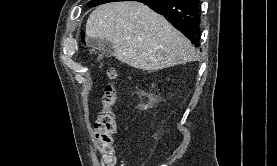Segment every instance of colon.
Returning a JSON list of instances; mask_svg holds the SVG:
<instances>
[{
    "mask_svg": "<svg viewBox=\"0 0 277 166\" xmlns=\"http://www.w3.org/2000/svg\"><path fill=\"white\" fill-rule=\"evenodd\" d=\"M81 41L85 43L84 33L81 34ZM110 82L105 86L102 96V109L94 124L97 147L101 155L102 166H116L117 157L115 153L114 134L116 132L115 115L113 106L116 102V90L113 80L116 72L113 68L107 70Z\"/></svg>",
    "mask_w": 277,
    "mask_h": 166,
    "instance_id": "colon-1",
    "label": "colon"
}]
</instances>
